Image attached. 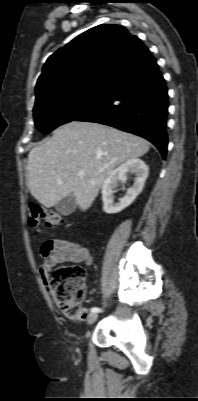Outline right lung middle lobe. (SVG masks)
I'll return each mask as SVG.
<instances>
[{"instance_id":"right-lung-middle-lobe-1","label":"right lung middle lobe","mask_w":198,"mask_h":401,"mask_svg":"<svg viewBox=\"0 0 198 401\" xmlns=\"http://www.w3.org/2000/svg\"><path fill=\"white\" fill-rule=\"evenodd\" d=\"M107 87L106 83H88L36 99L33 109L36 128L47 134L75 120L101 99Z\"/></svg>"}]
</instances>
